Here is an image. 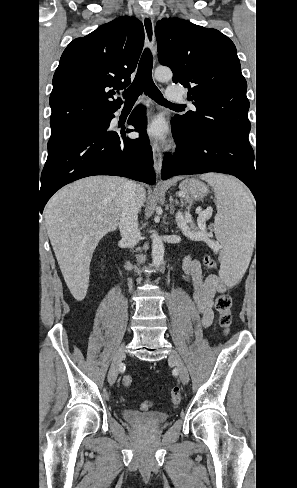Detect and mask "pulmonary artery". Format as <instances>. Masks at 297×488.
Returning <instances> with one entry per match:
<instances>
[{
	"instance_id": "pulmonary-artery-1",
	"label": "pulmonary artery",
	"mask_w": 297,
	"mask_h": 488,
	"mask_svg": "<svg viewBox=\"0 0 297 488\" xmlns=\"http://www.w3.org/2000/svg\"><path fill=\"white\" fill-rule=\"evenodd\" d=\"M166 97L170 101L185 102V99L183 98L182 94L172 88H168L166 90Z\"/></svg>"
}]
</instances>
